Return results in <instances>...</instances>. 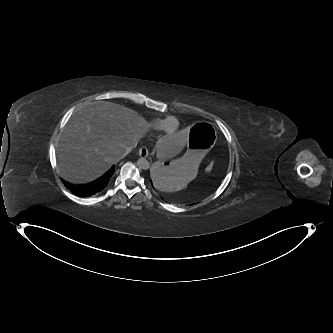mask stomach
I'll return each mask as SVG.
<instances>
[{
  "mask_svg": "<svg viewBox=\"0 0 333 333\" xmlns=\"http://www.w3.org/2000/svg\"><path fill=\"white\" fill-rule=\"evenodd\" d=\"M214 129L206 122L193 125L185 155L177 160L154 163L149 172L151 183L165 193L177 192L189 184L197 175L199 163L216 143Z\"/></svg>",
  "mask_w": 333,
  "mask_h": 333,
  "instance_id": "1",
  "label": "stomach"
}]
</instances>
